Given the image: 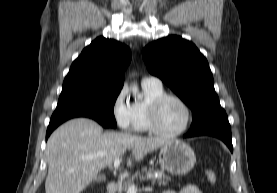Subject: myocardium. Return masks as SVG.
Wrapping results in <instances>:
<instances>
[{
  "mask_svg": "<svg viewBox=\"0 0 277 193\" xmlns=\"http://www.w3.org/2000/svg\"><path fill=\"white\" fill-rule=\"evenodd\" d=\"M168 99H173L179 102L186 112V121L182 128L174 132H168L161 128L159 123V110L161 105ZM148 122L150 131L156 135L173 138L177 137L188 130L192 121V112L188 103L180 96L173 93H163L150 101L147 108Z\"/></svg>",
  "mask_w": 277,
  "mask_h": 193,
  "instance_id": "f54148a6",
  "label": "myocardium"
}]
</instances>
